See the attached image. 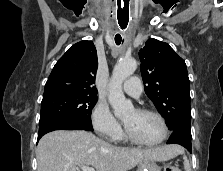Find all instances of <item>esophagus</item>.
Here are the masks:
<instances>
[{
	"label": "esophagus",
	"mask_w": 223,
	"mask_h": 171,
	"mask_svg": "<svg viewBox=\"0 0 223 171\" xmlns=\"http://www.w3.org/2000/svg\"><path fill=\"white\" fill-rule=\"evenodd\" d=\"M118 24V29H121L122 31H126L129 29V13H127V9L124 13H116Z\"/></svg>",
	"instance_id": "1"
}]
</instances>
